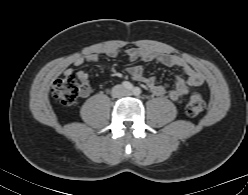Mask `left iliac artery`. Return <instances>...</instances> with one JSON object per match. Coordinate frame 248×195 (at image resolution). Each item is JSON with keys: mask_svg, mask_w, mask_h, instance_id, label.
<instances>
[{"mask_svg": "<svg viewBox=\"0 0 248 195\" xmlns=\"http://www.w3.org/2000/svg\"><path fill=\"white\" fill-rule=\"evenodd\" d=\"M133 92H134L135 95H140V94H141V89L138 88V87H135V88L133 89Z\"/></svg>", "mask_w": 248, "mask_h": 195, "instance_id": "obj_1", "label": "left iliac artery"}]
</instances>
